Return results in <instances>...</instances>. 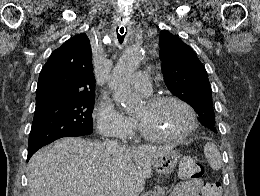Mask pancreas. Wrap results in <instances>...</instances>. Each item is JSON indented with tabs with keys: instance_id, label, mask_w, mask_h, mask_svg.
Segmentation results:
<instances>
[{
	"instance_id": "1",
	"label": "pancreas",
	"mask_w": 260,
	"mask_h": 196,
	"mask_svg": "<svg viewBox=\"0 0 260 196\" xmlns=\"http://www.w3.org/2000/svg\"><path fill=\"white\" fill-rule=\"evenodd\" d=\"M166 190H168V188H160V186H156L152 192V196H165Z\"/></svg>"
}]
</instances>
